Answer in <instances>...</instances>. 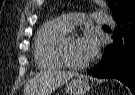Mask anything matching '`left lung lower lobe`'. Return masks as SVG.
Wrapping results in <instances>:
<instances>
[{
    "label": "left lung lower lobe",
    "instance_id": "0a47b994",
    "mask_svg": "<svg viewBox=\"0 0 135 95\" xmlns=\"http://www.w3.org/2000/svg\"><path fill=\"white\" fill-rule=\"evenodd\" d=\"M116 23L112 32L114 42L107 46L106 56L88 74L118 79L135 94V9L116 19Z\"/></svg>",
    "mask_w": 135,
    "mask_h": 95
}]
</instances>
